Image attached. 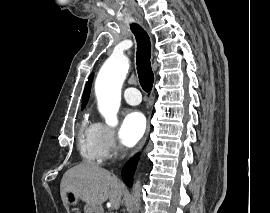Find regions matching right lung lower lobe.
<instances>
[{"mask_svg":"<svg viewBox=\"0 0 270 213\" xmlns=\"http://www.w3.org/2000/svg\"><path fill=\"white\" fill-rule=\"evenodd\" d=\"M137 159H138V156L131 158L123 168L122 176H123L124 182L128 186L132 185V180H133V175L136 168Z\"/></svg>","mask_w":270,"mask_h":213,"instance_id":"right-lung-lower-lobe-1","label":"right lung lower lobe"}]
</instances>
